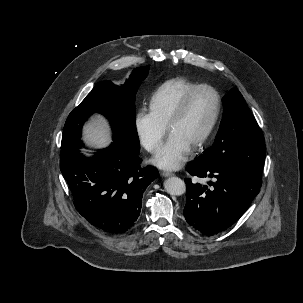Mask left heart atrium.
I'll use <instances>...</instances> for the list:
<instances>
[{
	"label": "left heart atrium",
	"instance_id": "left-heart-atrium-1",
	"mask_svg": "<svg viewBox=\"0 0 303 303\" xmlns=\"http://www.w3.org/2000/svg\"><path fill=\"white\" fill-rule=\"evenodd\" d=\"M192 146L177 133H170L166 142L152 159L161 169L175 170L182 166L191 152Z\"/></svg>",
	"mask_w": 303,
	"mask_h": 303
}]
</instances>
